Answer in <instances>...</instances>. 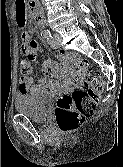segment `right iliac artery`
<instances>
[{
  "label": "right iliac artery",
  "instance_id": "82829eb1",
  "mask_svg": "<svg viewBox=\"0 0 123 167\" xmlns=\"http://www.w3.org/2000/svg\"><path fill=\"white\" fill-rule=\"evenodd\" d=\"M49 33H50V31H49V30L44 31V32H43V37L45 38L46 36H48V35H49Z\"/></svg>",
  "mask_w": 123,
  "mask_h": 167
}]
</instances>
